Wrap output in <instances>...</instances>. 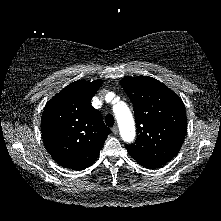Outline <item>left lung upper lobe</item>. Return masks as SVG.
I'll list each match as a JSON object with an SVG mask.
<instances>
[{"instance_id":"5c2ea615","label":"left lung upper lobe","mask_w":221,"mask_h":221,"mask_svg":"<svg viewBox=\"0 0 221 221\" xmlns=\"http://www.w3.org/2000/svg\"><path fill=\"white\" fill-rule=\"evenodd\" d=\"M133 103L138 137L126 146L142 166H161L180 150L187 132L185 106L179 96L149 76L120 81Z\"/></svg>"}]
</instances>
